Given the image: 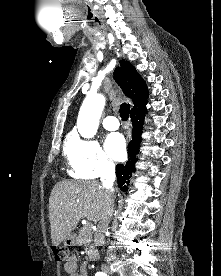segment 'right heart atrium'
Listing matches in <instances>:
<instances>
[{
  "label": "right heart atrium",
  "mask_w": 221,
  "mask_h": 276,
  "mask_svg": "<svg viewBox=\"0 0 221 276\" xmlns=\"http://www.w3.org/2000/svg\"><path fill=\"white\" fill-rule=\"evenodd\" d=\"M71 173L79 179H94L113 172L115 166L100 144L92 139H73L67 148Z\"/></svg>",
  "instance_id": "obj_1"
}]
</instances>
